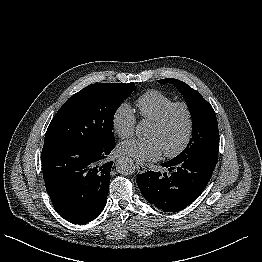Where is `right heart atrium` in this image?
<instances>
[{"label": "right heart atrium", "instance_id": "right-heart-atrium-1", "mask_svg": "<svg viewBox=\"0 0 262 262\" xmlns=\"http://www.w3.org/2000/svg\"><path fill=\"white\" fill-rule=\"evenodd\" d=\"M111 125L118 137L125 139L132 136L136 126V116L133 109L126 103L118 106L113 113Z\"/></svg>", "mask_w": 262, "mask_h": 262}]
</instances>
